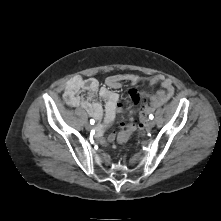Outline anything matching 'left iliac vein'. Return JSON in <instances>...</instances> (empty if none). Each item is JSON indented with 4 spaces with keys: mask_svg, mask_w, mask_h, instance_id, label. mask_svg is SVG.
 Wrapping results in <instances>:
<instances>
[{
    "mask_svg": "<svg viewBox=\"0 0 221 221\" xmlns=\"http://www.w3.org/2000/svg\"><path fill=\"white\" fill-rule=\"evenodd\" d=\"M154 125H155L154 120H149V121L147 122V124H146V127H147L148 129H151V128L154 127Z\"/></svg>",
    "mask_w": 221,
    "mask_h": 221,
    "instance_id": "left-iliac-vein-1",
    "label": "left iliac vein"
}]
</instances>
